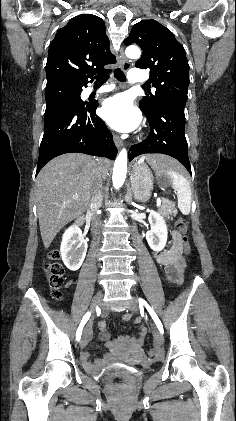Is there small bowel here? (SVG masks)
<instances>
[{
    "instance_id": "c3829d8e",
    "label": "small bowel",
    "mask_w": 236,
    "mask_h": 421,
    "mask_svg": "<svg viewBox=\"0 0 236 421\" xmlns=\"http://www.w3.org/2000/svg\"><path fill=\"white\" fill-rule=\"evenodd\" d=\"M171 235H172V239H173V246H175L179 251H181V245H182V243H181V237H180V234L178 233V231H175V230H173L172 232H171ZM102 327H104V324L102 323V325H101ZM146 333V329L144 328V327H142L141 328V334L142 335H144ZM87 341H88V337H87ZM82 356H87V357H89V354L88 353H84ZM112 360V359H111ZM111 360H109V362L111 361Z\"/></svg>"
}]
</instances>
